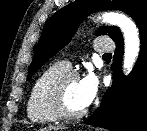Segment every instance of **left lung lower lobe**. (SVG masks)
Segmentation results:
<instances>
[{
    "label": "left lung lower lobe",
    "mask_w": 147,
    "mask_h": 131,
    "mask_svg": "<svg viewBox=\"0 0 147 131\" xmlns=\"http://www.w3.org/2000/svg\"><path fill=\"white\" fill-rule=\"evenodd\" d=\"M141 50L133 71L123 76L119 63L123 39L116 41L111 69L114 80L104 94L100 107L86 120L109 131H147V21L139 28Z\"/></svg>",
    "instance_id": "0a47b994"
}]
</instances>
